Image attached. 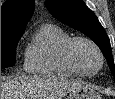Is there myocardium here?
Returning a JSON list of instances; mask_svg holds the SVG:
<instances>
[{"label": "myocardium", "instance_id": "1", "mask_svg": "<svg viewBox=\"0 0 115 99\" xmlns=\"http://www.w3.org/2000/svg\"><path fill=\"white\" fill-rule=\"evenodd\" d=\"M80 42H83V43H86V44L92 46L94 48V50L97 52V54L100 58V65L96 71L88 72L84 68H82L80 66V64L77 62L75 53H74V48H75L76 44L80 43ZM64 56H65V59L68 62V64L76 72H78L80 75H83V76H94V75L98 74L104 66V55H103L100 47L93 40H91L87 37H82V36L71 37L64 47Z\"/></svg>", "mask_w": 115, "mask_h": 99}]
</instances>
